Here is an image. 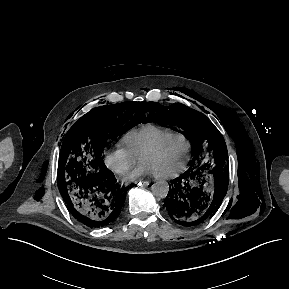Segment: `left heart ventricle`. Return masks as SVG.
<instances>
[{
	"label": "left heart ventricle",
	"mask_w": 289,
	"mask_h": 289,
	"mask_svg": "<svg viewBox=\"0 0 289 289\" xmlns=\"http://www.w3.org/2000/svg\"><path fill=\"white\" fill-rule=\"evenodd\" d=\"M188 153L187 144L180 138L164 142L154 153L143 158L155 174L170 173L182 166Z\"/></svg>",
	"instance_id": "obj_1"
}]
</instances>
